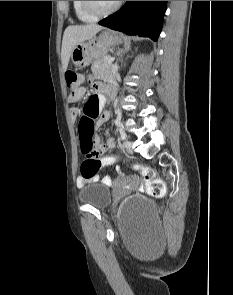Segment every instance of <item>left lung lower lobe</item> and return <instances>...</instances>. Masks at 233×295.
Here are the masks:
<instances>
[{"label":"left lung lower lobe","instance_id":"obj_1","mask_svg":"<svg viewBox=\"0 0 233 295\" xmlns=\"http://www.w3.org/2000/svg\"><path fill=\"white\" fill-rule=\"evenodd\" d=\"M167 1H127L100 25L129 35L149 37L156 41L162 29Z\"/></svg>","mask_w":233,"mask_h":295}]
</instances>
